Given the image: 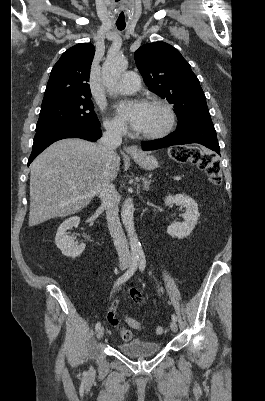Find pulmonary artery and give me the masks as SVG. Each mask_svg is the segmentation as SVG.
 Masks as SVG:
<instances>
[{"label":"pulmonary artery","instance_id":"1","mask_svg":"<svg viewBox=\"0 0 265 401\" xmlns=\"http://www.w3.org/2000/svg\"><path fill=\"white\" fill-rule=\"evenodd\" d=\"M137 72H126L125 81H118L117 88L122 95H135L139 88Z\"/></svg>","mask_w":265,"mask_h":401}]
</instances>
